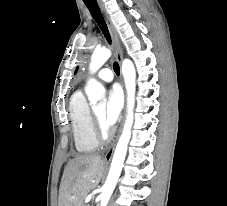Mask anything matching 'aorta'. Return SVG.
<instances>
[{
    "instance_id": "obj_1",
    "label": "aorta",
    "mask_w": 227,
    "mask_h": 206,
    "mask_svg": "<svg viewBox=\"0 0 227 206\" xmlns=\"http://www.w3.org/2000/svg\"><path fill=\"white\" fill-rule=\"evenodd\" d=\"M111 51L109 49H96L91 57L89 69L91 73L97 72L104 63L110 58ZM122 74L124 77L125 87L127 91V111L126 119L123 127L122 134L117 143L111 167L103 186L100 195V206H107L110 197L115 189L117 181L120 177L123 163L127 153L128 143L131 138V129L134 119V105H135V91H136V71L134 64L129 59H124L122 62ZM86 95L92 103L104 98L105 89L101 83L96 79H89L85 88Z\"/></svg>"
}]
</instances>
